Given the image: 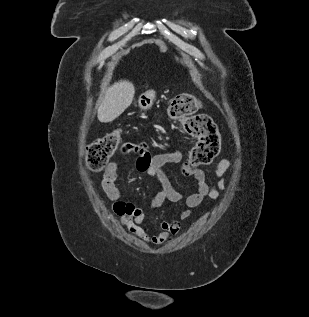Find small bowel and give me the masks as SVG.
I'll use <instances>...</instances> for the list:
<instances>
[{
  "instance_id": "1",
  "label": "small bowel",
  "mask_w": 309,
  "mask_h": 317,
  "mask_svg": "<svg viewBox=\"0 0 309 317\" xmlns=\"http://www.w3.org/2000/svg\"><path fill=\"white\" fill-rule=\"evenodd\" d=\"M136 152L134 162L135 169L153 178L159 185V191L151 201V208L160 207L166 200L172 203L184 201L187 210L183 211L179 219L164 220L160 223L159 230L152 231L144 226V212L131 202L122 199L120 189L116 185L118 176V164L111 162L106 167L101 185L108 199L112 202L113 212L120 217L123 225L129 232L140 240L153 244L161 245L172 240L180 231L181 221L189 218L192 209L199 206L208 197L217 199L226 188V172L231 168V161L222 159L214 169L211 179L207 180L205 173L196 167L183 166V172L194 179L195 192L184 196L177 191L171 184L164 167L167 164L179 163L182 160V153L179 150L173 152L151 155L150 146L141 142L135 145L128 144L126 151Z\"/></svg>"
}]
</instances>
